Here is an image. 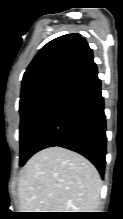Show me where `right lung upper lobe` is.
Instances as JSON below:
<instances>
[{
    "mask_svg": "<svg viewBox=\"0 0 123 219\" xmlns=\"http://www.w3.org/2000/svg\"><path fill=\"white\" fill-rule=\"evenodd\" d=\"M93 65L92 50L80 34L60 36L42 47L28 66L21 95L50 81L71 80Z\"/></svg>",
    "mask_w": 123,
    "mask_h": 219,
    "instance_id": "1",
    "label": "right lung upper lobe"
}]
</instances>
